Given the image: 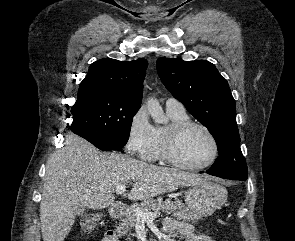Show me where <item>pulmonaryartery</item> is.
Returning a JSON list of instances; mask_svg holds the SVG:
<instances>
[{
  "mask_svg": "<svg viewBox=\"0 0 295 241\" xmlns=\"http://www.w3.org/2000/svg\"><path fill=\"white\" fill-rule=\"evenodd\" d=\"M165 105H166V108L170 110L185 111L183 104L179 100L173 97L168 98L166 100Z\"/></svg>",
  "mask_w": 295,
  "mask_h": 241,
  "instance_id": "1",
  "label": "pulmonary artery"
}]
</instances>
